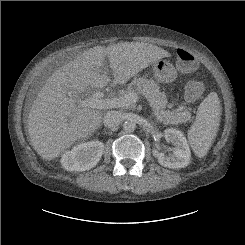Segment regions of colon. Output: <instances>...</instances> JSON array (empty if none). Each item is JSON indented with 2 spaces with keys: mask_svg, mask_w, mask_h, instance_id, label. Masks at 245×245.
<instances>
[{
  "mask_svg": "<svg viewBox=\"0 0 245 245\" xmlns=\"http://www.w3.org/2000/svg\"><path fill=\"white\" fill-rule=\"evenodd\" d=\"M177 67L181 72H192L196 69L197 62L194 55L185 48L176 50ZM204 92V85L200 81H189L185 86V97L188 101L198 99Z\"/></svg>",
  "mask_w": 245,
  "mask_h": 245,
  "instance_id": "1",
  "label": "colon"
}]
</instances>
